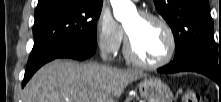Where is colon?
<instances>
[{
  "instance_id": "1",
  "label": "colon",
  "mask_w": 221,
  "mask_h": 102,
  "mask_svg": "<svg viewBox=\"0 0 221 102\" xmlns=\"http://www.w3.org/2000/svg\"><path fill=\"white\" fill-rule=\"evenodd\" d=\"M183 102H202V98L197 92L193 90H187L184 93Z\"/></svg>"
}]
</instances>
